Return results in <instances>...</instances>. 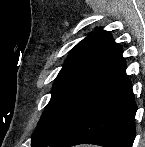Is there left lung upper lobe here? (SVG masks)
<instances>
[{
  "label": "left lung upper lobe",
  "instance_id": "obj_1",
  "mask_svg": "<svg viewBox=\"0 0 145 147\" xmlns=\"http://www.w3.org/2000/svg\"><path fill=\"white\" fill-rule=\"evenodd\" d=\"M115 45L109 32L97 28L71 50L37 124L32 147H43L66 130Z\"/></svg>",
  "mask_w": 145,
  "mask_h": 147
}]
</instances>
